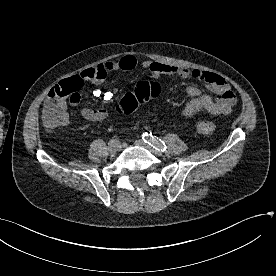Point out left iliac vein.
<instances>
[{
    "label": "left iliac vein",
    "mask_w": 276,
    "mask_h": 276,
    "mask_svg": "<svg viewBox=\"0 0 276 276\" xmlns=\"http://www.w3.org/2000/svg\"><path fill=\"white\" fill-rule=\"evenodd\" d=\"M135 144L138 145V146H140V147H143V148L149 150L152 154H154L156 156H158V155L161 154L158 150H156L151 145H148L146 142H144L142 140H136Z\"/></svg>",
    "instance_id": "4c4485c4"
}]
</instances>
